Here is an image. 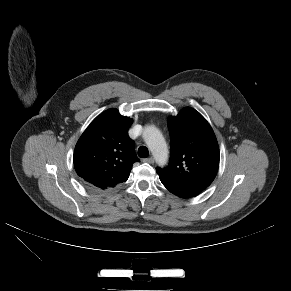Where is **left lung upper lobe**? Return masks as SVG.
Returning a JSON list of instances; mask_svg holds the SVG:
<instances>
[{
	"label": "left lung upper lobe",
	"mask_w": 291,
	"mask_h": 291,
	"mask_svg": "<svg viewBox=\"0 0 291 291\" xmlns=\"http://www.w3.org/2000/svg\"><path fill=\"white\" fill-rule=\"evenodd\" d=\"M171 136L170 162L157 173L174 181L204 190L214 180L219 167V147L206 119L191 107L168 118Z\"/></svg>",
	"instance_id": "left-lung-upper-lobe-1"
}]
</instances>
